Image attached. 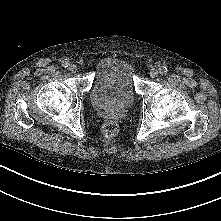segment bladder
<instances>
[{"mask_svg":"<svg viewBox=\"0 0 221 221\" xmlns=\"http://www.w3.org/2000/svg\"><path fill=\"white\" fill-rule=\"evenodd\" d=\"M135 66L120 56H106L98 66L90 91L91 103L97 108L130 107L136 99Z\"/></svg>","mask_w":221,"mask_h":221,"instance_id":"bladder-1","label":"bladder"}]
</instances>
